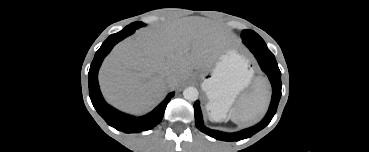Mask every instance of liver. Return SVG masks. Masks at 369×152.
<instances>
[{
  "label": "liver",
  "instance_id": "liver-1",
  "mask_svg": "<svg viewBox=\"0 0 369 152\" xmlns=\"http://www.w3.org/2000/svg\"><path fill=\"white\" fill-rule=\"evenodd\" d=\"M226 43V34L207 19H182L139 30L105 59L99 83L116 108L141 114L155 106L169 88L185 82L193 69L208 66ZM172 75L173 81L167 82Z\"/></svg>",
  "mask_w": 369,
  "mask_h": 152
}]
</instances>
